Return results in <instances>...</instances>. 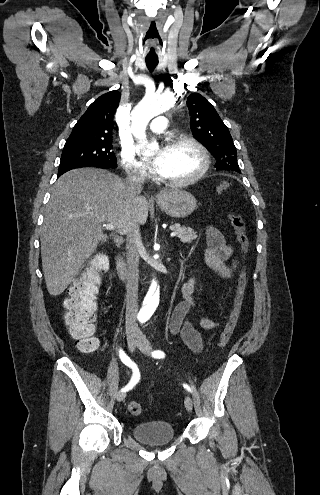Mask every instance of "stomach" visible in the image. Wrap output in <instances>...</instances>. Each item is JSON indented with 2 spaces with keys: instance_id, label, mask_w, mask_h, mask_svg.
I'll list each match as a JSON object with an SVG mask.
<instances>
[{
  "instance_id": "0dacf381",
  "label": "stomach",
  "mask_w": 320,
  "mask_h": 495,
  "mask_svg": "<svg viewBox=\"0 0 320 495\" xmlns=\"http://www.w3.org/2000/svg\"><path fill=\"white\" fill-rule=\"evenodd\" d=\"M157 204L162 211L175 218L186 217L197 208L195 197L180 189L162 192L157 197Z\"/></svg>"
}]
</instances>
